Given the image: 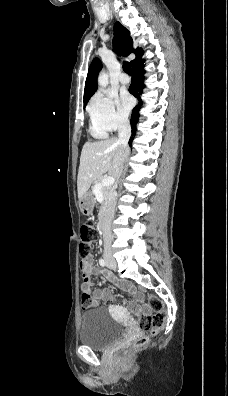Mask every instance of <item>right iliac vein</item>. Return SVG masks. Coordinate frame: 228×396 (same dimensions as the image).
Returning a JSON list of instances; mask_svg holds the SVG:
<instances>
[{"label":"right iliac vein","mask_w":228,"mask_h":396,"mask_svg":"<svg viewBox=\"0 0 228 396\" xmlns=\"http://www.w3.org/2000/svg\"><path fill=\"white\" fill-rule=\"evenodd\" d=\"M105 259H106L107 264H108L111 268L116 269V262H115V260H114L109 254H106V255H105Z\"/></svg>","instance_id":"obj_1"}]
</instances>
